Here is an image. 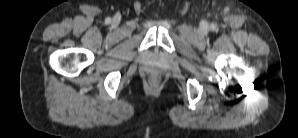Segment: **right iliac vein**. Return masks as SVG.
Masks as SVG:
<instances>
[{
  "mask_svg": "<svg viewBox=\"0 0 298 138\" xmlns=\"http://www.w3.org/2000/svg\"><path fill=\"white\" fill-rule=\"evenodd\" d=\"M119 22V19L116 17L114 20H113V23L114 24H117Z\"/></svg>",
  "mask_w": 298,
  "mask_h": 138,
  "instance_id": "obj_1",
  "label": "right iliac vein"
}]
</instances>
